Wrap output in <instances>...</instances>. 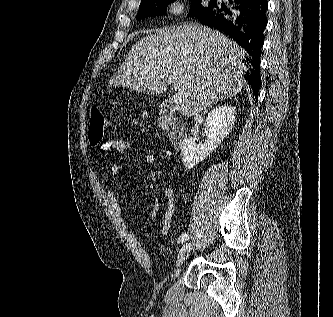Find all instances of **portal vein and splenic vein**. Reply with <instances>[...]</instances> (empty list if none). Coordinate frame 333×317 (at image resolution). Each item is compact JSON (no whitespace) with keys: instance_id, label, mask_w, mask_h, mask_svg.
<instances>
[{"instance_id":"1","label":"portal vein and splenic vein","mask_w":333,"mask_h":317,"mask_svg":"<svg viewBox=\"0 0 333 317\" xmlns=\"http://www.w3.org/2000/svg\"><path fill=\"white\" fill-rule=\"evenodd\" d=\"M172 100L176 105L181 104L182 103V93L181 92H176L173 95Z\"/></svg>"}]
</instances>
